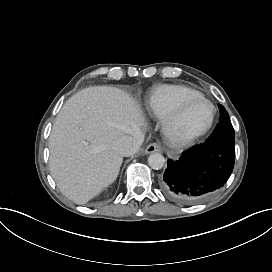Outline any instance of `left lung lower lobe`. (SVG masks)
Here are the masks:
<instances>
[{
    "mask_svg": "<svg viewBox=\"0 0 272 272\" xmlns=\"http://www.w3.org/2000/svg\"><path fill=\"white\" fill-rule=\"evenodd\" d=\"M234 161L233 146L203 144L185 151L179 161H168L160 187L176 203H199L225 184L232 173Z\"/></svg>",
    "mask_w": 272,
    "mask_h": 272,
    "instance_id": "0a47b994",
    "label": "left lung lower lobe"
}]
</instances>
